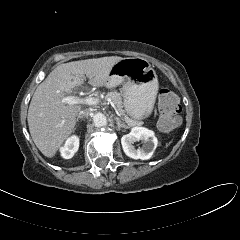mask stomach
<instances>
[{"instance_id":"obj_1","label":"stomach","mask_w":240,"mask_h":240,"mask_svg":"<svg viewBox=\"0 0 240 240\" xmlns=\"http://www.w3.org/2000/svg\"><path fill=\"white\" fill-rule=\"evenodd\" d=\"M122 85L125 112L135 120L147 118L153 110L158 79L148 60L123 58L111 69L108 88Z\"/></svg>"}]
</instances>
